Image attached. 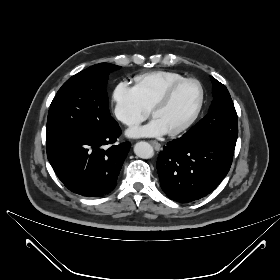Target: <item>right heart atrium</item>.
Masks as SVG:
<instances>
[{"label": "right heart atrium", "instance_id": "1", "mask_svg": "<svg viewBox=\"0 0 280 280\" xmlns=\"http://www.w3.org/2000/svg\"><path fill=\"white\" fill-rule=\"evenodd\" d=\"M113 102L117 119L126 126L139 125L149 114V108L143 103L135 87L125 81L115 87Z\"/></svg>", "mask_w": 280, "mask_h": 280}]
</instances>
